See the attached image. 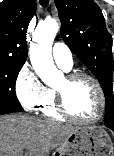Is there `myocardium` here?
I'll list each match as a JSON object with an SVG mask.
<instances>
[{
  "label": "myocardium",
  "mask_w": 114,
  "mask_h": 156,
  "mask_svg": "<svg viewBox=\"0 0 114 156\" xmlns=\"http://www.w3.org/2000/svg\"><path fill=\"white\" fill-rule=\"evenodd\" d=\"M79 79H87L90 82H92V84L94 85V87L97 91V94H98V98H99V109H98L97 114L93 118H90V119H81V118L74 116L67 108L65 94H64L63 90L58 89V88L55 89L57 110L64 118H66L72 122H76V123H80V124L96 123L97 121H99L101 119L103 112L105 110L104 91L102 89L100 82L97 80V78L89 73L74 72V73H71V74H68L67 76H65V80L67 83H73Z\"/></svg>",
  "instance_id": "f54148a6"
}]
</instances>
